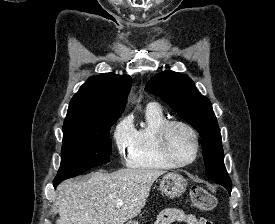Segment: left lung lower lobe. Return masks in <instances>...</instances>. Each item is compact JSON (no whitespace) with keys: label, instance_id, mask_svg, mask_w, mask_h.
Returning <instances> with one entry per match:
<instances>
[{"label":"left lung lower lobe","instance_id":"1","mask_svg":"<svg viewBox=\"0 0 275 224\" xmlns=\"http://www.w3.org/2000/svg\"><path fill=\"white\" fill-rule=\"evenodd\" d=\"M222 186H224L229 193H231L232 190V183H223Z\"/></svg>","mask_w":275,"mask_h":224}]
</instances>
